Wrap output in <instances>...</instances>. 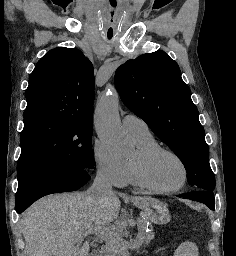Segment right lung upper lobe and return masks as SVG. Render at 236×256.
Returning <instances> with one entry per match:
<instances>
[{"label": "right lung upper lobe", "mask_w": 236, "mask_h": 256, "mask_svg": "<svg viewBox=\"0 0 236 256\" xmlns=\"http://www.w3.org/2000/svg\"><path fill=\"white\" fill-rule=\"evenodd\" d=\"M24 121L56 118L92 123V63L78 49L58 47L47 52L29 77Z\"/></svg>", "instance_id": "right-lung-upper-lobe-1"}]
</instances>
